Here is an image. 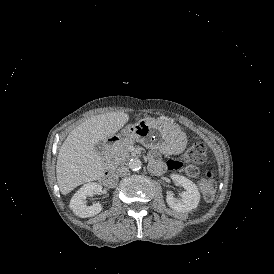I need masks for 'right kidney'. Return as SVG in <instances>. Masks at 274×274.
<instances>
[{"label":"right kidney","instance_id":"1","mask_svg":"<svg viewBox=\"0 0 274 274\" xmlns=\"http://www.w3.org/2000/svg\"><path fill=\"white\" fill-rule=\"evenodd\" d=\"M102 189L100 184L94 182L87 183L80 188L70 201V208L74 214L83 218L98 214L102 209L101 204L96 202L92 206H88L85 203V199L92 194H101Z\"/></svg>","mask_w":274,"mask_h":274}]
</instances>
